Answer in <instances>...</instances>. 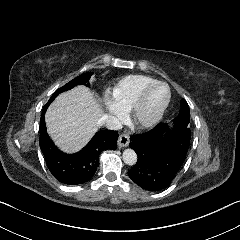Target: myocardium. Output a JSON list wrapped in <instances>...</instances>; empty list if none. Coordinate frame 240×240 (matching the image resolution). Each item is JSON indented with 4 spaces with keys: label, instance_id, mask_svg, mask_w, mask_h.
I'll return each instance as SVG.
<instances>
[{
    "label": "myocardium",
    "instance_id": "obj_1",
    "mask_svg": "<svg viewBox=\"0 0 240 240\" xmlns=\"http://www.w3.org/2000/svg\"><path fill=\"white\" fill-rule=\"evenodd\" d=\"M159 86L165 88V97L155 110L147 111L148 98L154 89ZM170 98L169 86L164 82H154L143 90L129 114L126 115L127 120L131 122L134 129L139 131L152 128L161 120L169 105Z\"/></svg>",
    "mask_w": 240,
    "mask_h": 240
}]
</instances>
